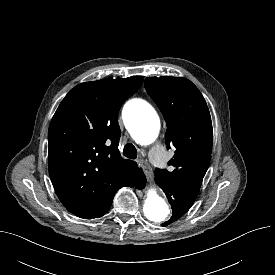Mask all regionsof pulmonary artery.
<instances>
[{
  "label": "pulmonary artery",
  "mask_w": 275,
  "mask_h": 275,
  "mask_svg": "<svg viewBox=\"0 0 275 275\" xmlns=\"http://www.w3.org/2000/svg\"><path fill=\"white\" fill-rule=\"evenodd\" d=\"M151 159L156 165H161L163 161V150L162 147L159 145H156L152 148L151 152Z\"/></svg>",
  "instance_id": "pulmonary-artery-1"
}]
</instances>
